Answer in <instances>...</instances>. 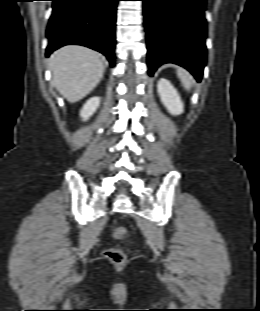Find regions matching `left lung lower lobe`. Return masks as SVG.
Here are the masks:
<instances>
[{
  "label": "left lung lower lobe",
  "instance_id": "obj_1",
  "mask_svg": "<svg viewBox=\"0 0 260 311\" xmlns=\"http://www.w3.org/2000/svg\"><path fill=\"white\" fill-rule=\"evenodd\" d=\"M148 74L164 63L189 70L197 81L205 66V0H142Z\"/></svg>",
  "mask_w": 260,
  "mask_h": 311
}]
</instances>
